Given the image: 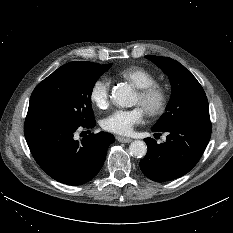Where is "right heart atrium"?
<instances>
[{"label": "right heart atrium", "instance_id": "obj_1", "mask_svg": "<svg viewBox=\"0 0 233 233\" xmlns=\"http://www.w3.org/2000/svg\"><path fill=\"white\" fill-rule=\"evenodd\" d=\"M91 103L99 109H105L110 102V81L106 78L96 79L90 89Z\"/></svg>", "mask_w": 233, "mask_h": 233}]
</instances>
